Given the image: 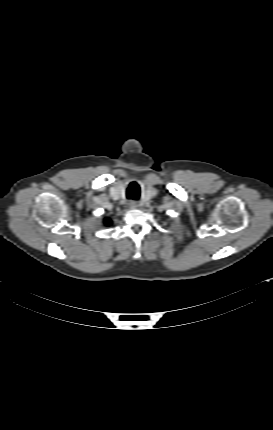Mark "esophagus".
Returning <instances> with one entry per match:
<instances>
[{
    "label": "esophagus",
    "instance_id": "34e87169",
    "mask_svg": "<svg viewBox=\"0 0 273 430\" xmlns=\"http://www.w3.org/2000/svg\"><path fill=\"white\" fill-rule=\"evenodd\" d=\"M139 205H138V202H136V201H131L130 203H129V208L130 209H135V208H137Z\"/></svg>",
    "mask_w": 273,
    "mask_h": 430
}]
</instances>
